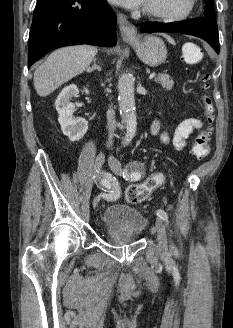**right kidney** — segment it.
Masks as SVG:
<instances>
[{"label": "right kidney", "instance_id": "right-kidney-1", "mask_svg": "<svg viewBox=\"0 0 233 328\" xmlns=\"http://www.w3.org/2000/svg\"><path fill=\"white\" fill-rule=\"evenodd\" d=\"M86 94L88 89L84 88ZM79 89L75 84L68 85L59 93L55 107L58 112V121L61 125V130L70 141L80 140L88 130V122L84 118H75L73 116L75 106L70 102L72 97H77Z\"/></svg>", "mask_w": 233, "mask_h": 328}]
</instances>
